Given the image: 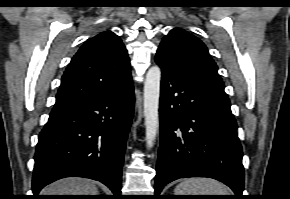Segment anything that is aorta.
Listing matches in <instances>:
<instances>
[{"label":"aorta","mask_w":290,"mask_h":199,"mask_svg":"<svg viewBox=\"0 0 290 199\" xmlns=\"http://www.w3.org/2000/svg\"><path fill=\"white\" fill-rule=\"evenodd\" d=\"M161 69L152 66L144 82V116L147 148H152L159 129V98Z\"/></svg>","instance_id":"762f6f07"}]
</instances>
